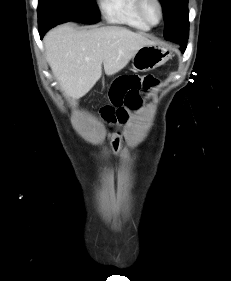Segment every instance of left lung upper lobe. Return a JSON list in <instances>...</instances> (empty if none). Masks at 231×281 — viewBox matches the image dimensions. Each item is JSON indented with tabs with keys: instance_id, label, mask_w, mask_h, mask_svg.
I'll return each mask as SVG.
<instances>
[{
	"instance_id": "1",
	"label": "left lung upper lobe",
	"mask_w": 231,
	"mask_h": 281,
	"mask_svg": "<svg viewBox=\"0 0 231 281\" xmlns=\"http://www.w3.org/2000/svg\"><path fill=\"white\" fill-rule=\"evenodd\" d=\"M160 2L165 18V38L178 30L188 32V0H160Z\"/></svg>"
}]
</instances>
